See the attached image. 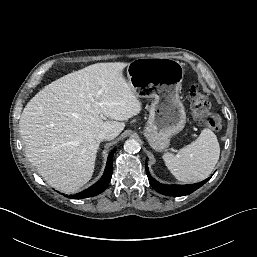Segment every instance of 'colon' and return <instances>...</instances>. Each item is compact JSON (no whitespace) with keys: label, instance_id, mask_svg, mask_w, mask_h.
Masks as SVG:
<instances>
[{"label":"colon","instance_id":"1","mask_svg":"<svg viewBox=\"0 0 257 257\" xmlns=\"http://www.w3.org/2000/svg\"><path fill=\"white\" fill-rule=\"evenodd\" d=\"M190 101L196 119L211 129L219 130L221 128V117L209 112V101L196 85H192L190 88Z\"/></svg>","mask_w":257,"mask_h":257}]
</instances>
